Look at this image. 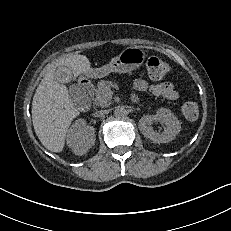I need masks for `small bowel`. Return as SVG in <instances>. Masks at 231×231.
<instances>
[{
    "instance_id": "c3829d8e",
    "label": "small bowel",
    "mask_w": 231,
    "mask_h": 231,
    "mask_svg": "<svg viewBox=\"0 0 231 231\" xmlns=\"http://www.w3.org/2000/svg\"><path fill=\"white\" fill-rule=\"evenodd\" d=\"M133 89L137 92H150L155 96H160L170 101H174L179 97L178 91L170 82L149 84L144 79H136L133 83Z\"/></svg>"
}]
</instances>
